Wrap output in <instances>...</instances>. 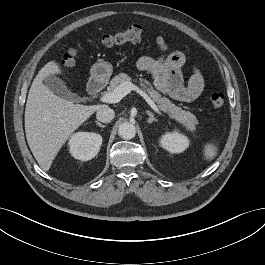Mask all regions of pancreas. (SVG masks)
Listing matches in <instances>:
<instances>
[{
  "mask_svg": "<svg viewBox=\"0 0 265 265\" xmlns=\"http://www.w3.org/2000/svg\"><path fill=\"white\" fill-rule=\"evenodd\" d=\"M131 78L125 74L121 73L115 76L111 81L108 87V92H113L120 84L123 82H131ZM140 86L144 89L152 98L154 102L157 103L158 107L167 113L170 118L176 120L180 123L187 131L194 132L198 120L195 115L189 111L182 110V108L173 104L168 98L162 97L159 92H157L151 83L143 78H140Z\"/></svg>",
  "mask_w": 265,
  "mask_h": 265,
  "instance_id": "obj_1",
  "label": "pancreas"
}]
</instances>
